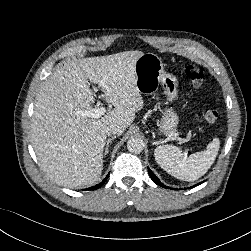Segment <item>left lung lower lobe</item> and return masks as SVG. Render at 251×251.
Segmentation results:
<instances>
[{
	"label": "left lung lower lobe",
	"mask_w": 251,
	"mask_h": 251,
	"mask_svg": "<svg viewBox=\"0 0 251 251\" xmlns=\"http://www.w3.org/2000/svg\"><path fill=\"white\" fill-rule=\"evenodd\" d=\"M148 173H149L151 179H152L157 185H159V186H161V187H164V188H169V187H166L164 184H162V183L160 182V180L155 176V174H154L149 168H148ZM197 185H199V184H196V185H194L193 187H195V186H197ZM190 188H192V187H190Z\"/></svg>",
	"instance_id": "obj_1"
}]
</instances>
